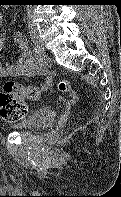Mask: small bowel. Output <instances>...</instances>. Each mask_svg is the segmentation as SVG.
Here are the masks:
<instances>
[{
    "label": "small bowel",
    "instance_id": "1",
    "mask_svg": "<svg viewBox=\"0 0 121 197\" xmlns=\"http://www.w3.org/2000/svg\"><path fill=\"white\" fill-rule=\"evenodd\" d=\"M3 16L0 13V25L2 23ZM11 41L18 45L21 51V55L17 61L7 60L0 62V76H19V75H36L39 74L41 68L39 64H42V60L39 62L32 54L30 43L23 32H16ZM7 43V37L4 33H0V52L4 49ZM52 86V79L47 77L40 87H33L35 97L32 100H38L41 96L47 92Z\"/></svg>",
    "mask_w": 121,
    "mask_h": 197
}]
</instances>
